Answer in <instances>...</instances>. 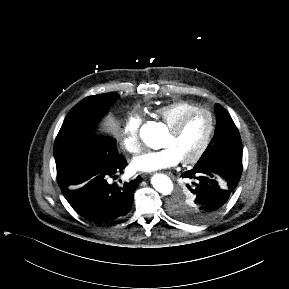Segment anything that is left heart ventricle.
I'll use <instances>...</instances> for the list:
<instances>
[{
  "instance_id": "1",
  "label": "left heart ventricle",
  "mask_w": 289,
  "mask_h": 289,
  "mask_svg": "<svg viewBox=\"0 0 289 289\" xmlns=\"http://www.w3.org/2000/svg\"><path fill=\"white\" fill-rule=\"evenodd\" d=\"M210 129V119L205 113L192 116L180 133L165 136L162 147L173 148L182 159L191 157L201 147Z\"/></svg>"
}]
</instances>
